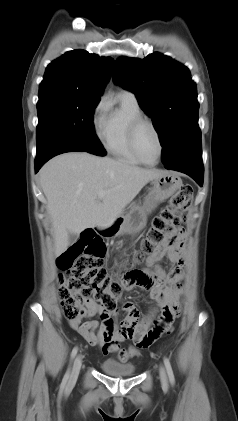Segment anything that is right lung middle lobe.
Masks as SVG:
<instances>
[{
    "instance_id": "obj_1",
    "label": "right lung middle lobe",
    "mask_w": 238,
    "mask_h": 421,
    "mask_svg": "<svg viewBox=\"0 0 238 421\" xmlns=\"http://www.w3.org/2000/svg\"><path fill=\"white\" fill-rule=\"evenodd\" d=\"M37 103V147L51 135H60L84 148L104 156L106 151L97 138L92 116L100 96L57 89L39 90Z\"/></svg>"
}]
</instances>
